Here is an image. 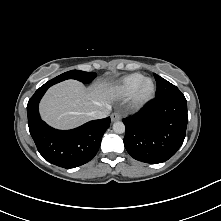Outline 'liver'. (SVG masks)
Returning a JSON list of instances; mask_svg holds the SVG:
<instances>
[{
	"instance_id": "6515ba94",
	"label": "liver",
	"mask_w": 221,
	"mask_h": 221,
	"mask_svg": "<svg viewBox=\"0 0 221 221\" xmlns=\"http://www.w3.org/2000/svg\"><path fill=\"white\" fill-rule=\"evenodd\" d=\"M116 96L108 83L86 88L76 80H66L47 91L39 106L40 115L54 128L71 129L89 121L92 111L109 105Z\"/></svg>"
}]
</instances>
